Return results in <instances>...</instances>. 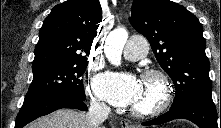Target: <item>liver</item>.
<instances>
[{"instance_id": "6515ba94", "label": "liver", "mask_w": 221, "mask_h": 128, "mask_svg": "<svg viewBox=\"0 0 221 128\" xmlns=\"http://www.w3.org/2000/svg\"><path fill=\"white\" fill-rule=\"evenodd\" d=\"M27 128H90L86 114L72 109H59L30 123Z\"/></svg>"}]
</instances>
